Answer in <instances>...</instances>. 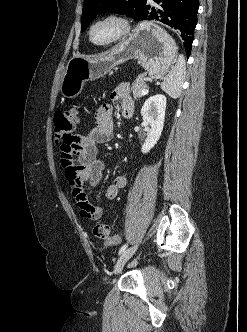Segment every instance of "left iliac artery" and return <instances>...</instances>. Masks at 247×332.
Returning a JSON list of instances; mask_svg holds the SVG:
<instances>
[{
	"label": "left iliac artery",
	"mask_w": 247,
	"mask_h": 332,
	"mask_svg": "<svg viewBox=\"0 0 247 332\" xmlns=\"http://www.w3.org/2000/svg\"><path fill=\"white\" fill-rule=\"evenodd\" d=\"M127 246H128V244H124V245L120 248V250H119V255L122 254V253L126 250Z\"/></svg>",
	"instance_id": "44dca946"
}]
</instances>
